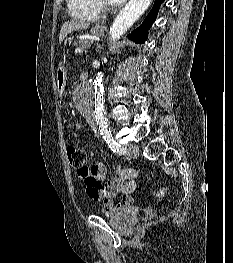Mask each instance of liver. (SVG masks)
<instances>
[{
	"mask_svg": "<svg viewBox=\"0 0 233 263\" xmlns=\"http://www.w3.org/2000/svg\"><path fill=\"white\" fill-rule=\"evenodd\" d=\"M90 23L82 21V20H70L65 22L60 30V35H59V43L61 44L62 41L65 39V37L73 32L77 31L80 29H87L89 28Z\"/></svg>",
	"mask_w": 233,
	"mask_h": 263,
	"instance_id": "1",
	"label": "liver"
}]
</instances>
